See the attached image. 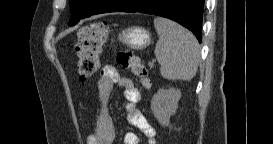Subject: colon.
I'll return each mask as SVG.
<instances>
[{"instance_id":"5ec220e1","label":"colon","mask_w":273,"mask_h":144,"mask_svg":"<svg viewBox=\"0 0 273 144\" xmlns=\"http://www.w3.org/2000/svg\"><path fill=\"white\" fill-rule=\"evenodd\" d=\"M108 32L107 22L91 23L79 31L77 51V73L81 80L91 78L99 68V55ZM117 63L138 76L142 84L148 87L147 70L128 50L117 55Z\"/></svg>"}]
</instances>
